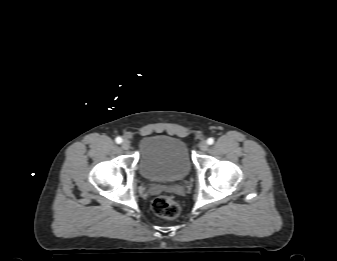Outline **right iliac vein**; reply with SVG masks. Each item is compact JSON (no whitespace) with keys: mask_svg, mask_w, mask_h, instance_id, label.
<instances>
[{"mask_svg":"<svg viewBox=\"0 0 337 261\" xmlns=\"http://www.w3.org/2000/svg\"><path fill=\"white\" fill-rule=\"evenodd\" d=\"M121 145L124 150H128L130 148V142L128 140H124Z\"/></svg>","mask_w":337,"mask_h":261,"instance_id":"right-iliac-vein-1","label":"right iliac vein"}]
</instances>
